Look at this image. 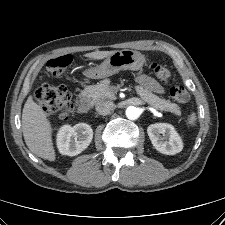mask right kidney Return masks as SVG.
Segmentation results:
<instances>
[{
    "instance_id": "1",
    "label": "right kidney",
    "mask_w": 225,
    "mask_h": 225,
    "mask_svg": "<svg viewBox=\"0 0 225 225\" xmlns=\"http://www.w3.org/2000/svg\"><path fill=\"white\" fill-rule=\"evenodd\" d=\"M93 130L86 123H79L71 127L63 125L57 134V147L61 154L76 156L91 143Z\"/></svg>"
}]
</instances>
